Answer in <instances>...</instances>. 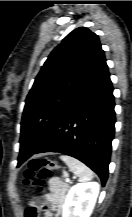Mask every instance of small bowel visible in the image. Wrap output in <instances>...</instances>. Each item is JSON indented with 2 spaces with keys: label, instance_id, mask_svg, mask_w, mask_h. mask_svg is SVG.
Listing matches in <instances>:
<instances>
[{
  "label": "small bowel",
  "instance_id": "1",
  "mask_svg": "<svg viewBox=\"0 0 132 217\" xmlns=\"http://www.w3.org/2000/svg\"><path fill=\"white\" fill-rule=\"evenodd\" d=\"M68 189V184L60 178L54 177L49 181V193L44 196L43 200H33L31 206L43 208L45 210L44 217H58L64 205Z\"/></svg>",
  "mask_w": 132,
  "mask_h": 217
}]
</instances>
